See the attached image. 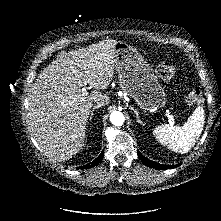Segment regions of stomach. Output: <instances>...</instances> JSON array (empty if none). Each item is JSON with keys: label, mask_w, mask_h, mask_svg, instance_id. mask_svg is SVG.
<instances>
[{"label": "stomach", "mask_w": 221, "mask_h": 221, "mask_svg": "<svg viewBox=\"0 0 221 221\" xmlns=\"http://www.w3.org/2000/svg\"><path fill=\"white\" fill-rule=\"evenodd\" d=\"M121 89L145 111H156L166 104V94L153 69L137 49L125 42L113 48Z\"/></svg>", "instance_id": "1"}]
</instances>
